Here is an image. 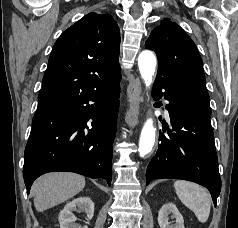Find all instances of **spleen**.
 I'll return each mask as SVG.
<instances>
[{
  "label": "spleen",
  "instance_id": "obj_1",
  "mask_svg": "<svg viewBox=\"0 0 238 228\" xmlns=\"http://www.w3.org/2000/svg\"><path fill=\"white\" fill-rule=\"evenodd\" d=\"M174 187L181 202L194 212L201 223H205L211 208L209 192L200 185L185 180L175 181Z\"/></svg>",
  "mask_w": 238,
  "mask_h": 228
}]
</instances>
